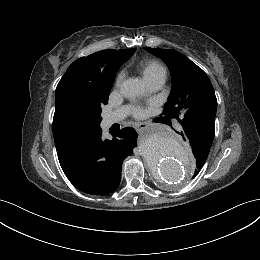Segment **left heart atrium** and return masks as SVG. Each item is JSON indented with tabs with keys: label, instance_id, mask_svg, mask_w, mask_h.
<instances>
[{
	"label": "left heart atrium",
	"instance_id": "1",
	"mask_svg": "<svg viewBox=\"0 0 260 260\" xmlns=\"http://www.w3.org/2000/svg\"><path fill=\"white\" fill-rule=\"evenodd\" d=\"M133 114L135 117L141 118L145 115V110L141 107H137L134 109Z\"/></svg>",
	"mask_w": 260,
	"mask_h": 260
}]
</instances>
